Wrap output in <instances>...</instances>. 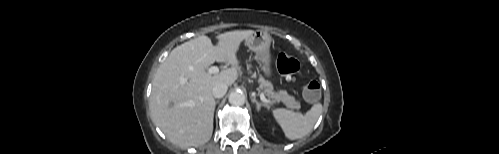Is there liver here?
I'll return each instance as SVG.
<instances>
[{"instance_id":"obj_1","label":"liver","mask_w":499,"mask_h":154,"mask_svg":"<svg viewBox=\"0 0 499 154\" xmlns=\"http://www.w3.org/2000/svg\"><path fill=\"white\" fill-rule=\"evenodd\" d=\"M253 30H235L216 36L217 44L201 35L174 48L159 66L152 84L150 111L154 123L175 145L199 146L213 132L216 106L212 89L217 83L232 85L238 78L237 52ZM214 62L231 68L212 75Z\"/></svg>"}]
</instances>
